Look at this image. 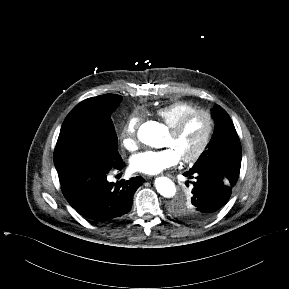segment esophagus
<instances>
[{
	"mask_svg": "<svg viewBox=\"0 0 289 289\" xmlns=\"http://www.w3.org/2000/svg\"><path fill=\"white\" fill-rule=\"evenodd\" d=\"M168 176H169V177H172V175H169V174H168Z\"/></svg>",
	"mask_w": 289,
	"mask_h": 289,
	"instance_id": "1",
	"label": "esophagus"
}]
</instances>
